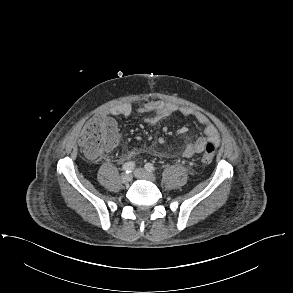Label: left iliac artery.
<instances>
[{
	"label": "left iliac artery",
	"instance_id": "obj_1",
	"mask_svg": "<svg viewBox=\"0 0 293 293\" xmlns=\"http://www.w3.org/2000/svg\"><path fill=\"white\" fill-rule=\"evenodd\" d=\"M145 169H146L147 171H149V172H154V171L156 170V168L154 167V165L151 164V163H147V164H145Z\"/></svg>",
	"mask_w": 293,
	"mask_h": 293
}]
</instances>
